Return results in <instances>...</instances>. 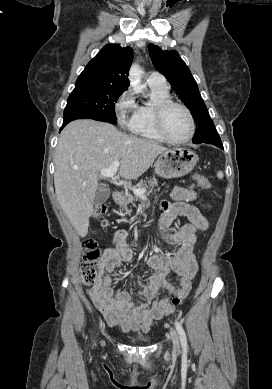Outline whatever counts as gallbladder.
<instances>
[{
	"label": "gallbladder",
	"mask_w": 272,
	"mask_h": 389,
	"mask_svg": "<svg viewBox=\"0 0 272 389\" xmlns=\"http://www.w3.org/2000/svg\"><path fill=\"white\" fill-rule=\"evenodd\" d=\"M110 190L106 187H99L96 194L93 198V205L95 207L100 206L101 204L105 203L106 200L109 198Z\"/></svg>",
	"instance_id": "bac80fb5"
}]
</instances>
